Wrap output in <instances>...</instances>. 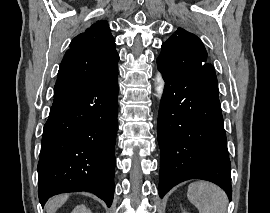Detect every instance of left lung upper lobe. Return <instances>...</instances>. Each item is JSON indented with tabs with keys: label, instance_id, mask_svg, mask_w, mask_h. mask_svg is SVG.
<instances>
[{
	"label": "left lung upper lobe",
	"instance_id": "obj_1",
	"mask_svg": "<svg viewBox=\"0 0 270 213\" xmlns=\"http://www.w3.org/2000/svg\"><path fill=\"white\" fill-rule=\"evenodd\" d=\"M206 59L207 52L201 40L196 35L178 28L162 44L157 65L167 76L196 74L217 84L215 70Z\"/></svg>",
	"mask_w": 270,
	"mask_h": 213
}]
</instances>
